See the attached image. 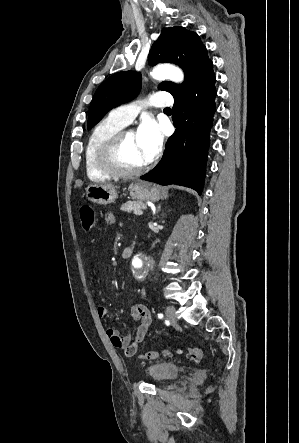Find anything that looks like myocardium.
<instances>
[{"label": "myocardium", "mask_w": 299, "mask_h": 443, "mask_svg": "<svg viewBox=\"0 0 299 443\" xmlns=\"http://www.w3.org/2000/svg\"><path fill=\"white\" fill-rule=\"evenodd\" d=\"M130 131L120 130L108 141H106L99 152V165L101 169L110 176L117 178H129L145 171L149 164L145 163L137 168H125L119 163V154L126 135Z\"/></svg>", "instance_id": "obj_1"}]
</instances>
